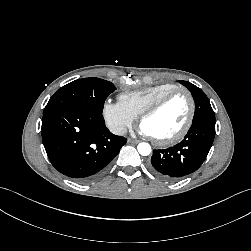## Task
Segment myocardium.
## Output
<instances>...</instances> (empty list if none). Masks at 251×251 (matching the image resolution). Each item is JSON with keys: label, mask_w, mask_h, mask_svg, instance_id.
<instances>
[{"label": "myocardium", "mask_w": 251, "mask_h": 251, "mask_svg": "<svg viewBox=\"0 0 251 251\" xmlns=\"http://www.w3.org/2000/svg\"><path fill=\"white\" fill-rule=\"evenodd\" d=\"M178 94H183L186 96L189 102V113L186 122L182 128L174 135L167 138H155L153 140L162 146L171 145L182 140L189 132L195 117L196 104L193 95L190 91L185 88H176L157 99L152 105L146 108L138 117L139 123L141 124L144 119L156 114L170 99Z\"/></svg>", "instance_id": "myocardium-1"}]
</instances>
